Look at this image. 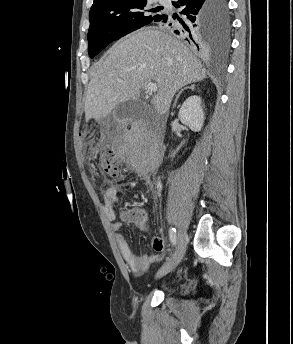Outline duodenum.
I'll list each match as a JSON object with an SVG mask.
<instances>
[{
    "instance_id": "obj_1",
    "label": "duodenum",
    "mask_w": 293,
    "mask_h": 344,
    "mask_svg": "<svg viewBox=\"0 0 293 344\" xmlns=\"http://www.w3.org/2000/svg\"><path fill=\"white\" fill-rule=\"evenodd\" d=\"M151 151L153 153V161L156 162L158 160L159 151L157 150V147L151 148Z\"/></svg>"
}]
</instances>
